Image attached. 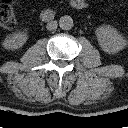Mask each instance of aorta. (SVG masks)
<instances>
[{
	"label": "aorta",
	"instance_id": "1",
	"mask_svg": "<svg viewBox=\"0 0 128 128\" xmlns=\"http://www.w3.org/2000/svg\"><path fill=\"white\" fill-rule=\"evenodd\" d=\"M73 19L69 15H64L59 19V26L63 30H70L73 27Z\"/></svg>",
	"mask_w": 128,
	"mask_h": 128
}]
</instances>
